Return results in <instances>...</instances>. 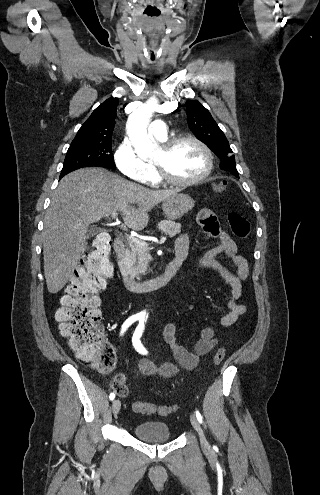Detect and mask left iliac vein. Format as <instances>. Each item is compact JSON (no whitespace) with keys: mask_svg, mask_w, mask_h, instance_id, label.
I'll list each match as a JSON object with an SVG mask.
<instances>
[{"mask_svg":"<svg viewBox=\"0 0 320 495\" xmlns=\"http://www.w3.org/2000/svg\"><path fill=\"white\" fill-rule=\"evenodd\" d=\"M190 422L193 426V428L196 430V432L198 433L199 435V438H200V443H201V446L202 448L205 450V451H209L211 449L210 447V444L209 442L207 441L205 435H204V432L198 422V419L196 418L195 415L191 414L190 415Z\"/></svg>","mask_w":320,"mask_h":495,"instance_id":"1","label":"left iliac vein"}]
</instances>
